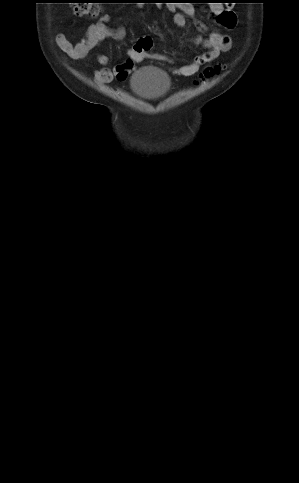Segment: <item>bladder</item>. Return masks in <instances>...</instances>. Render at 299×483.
I'll return each instance as SVG.
<instances>
[{"instance_id":"obj_1","label":"bladder","mask_w":299,"mask_h":483,"mask_svg":"<svg viewBox=\"0 0 299 483\" xmlns=\"http://www.w3.org/2000/svg\"><path fill=\"white\" fill-rule=\"evenodd\" d=\"M133 92L142 98H152L166 93L170 87V79L160 69L146 67L136 71L131 79Z\"/></svg>"}]
</instances>
